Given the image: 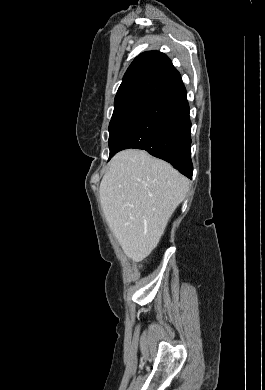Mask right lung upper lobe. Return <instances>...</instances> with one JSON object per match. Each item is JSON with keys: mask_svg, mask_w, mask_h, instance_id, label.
<instances>
[{"mask_svg": "<svg viewBox=\"0 0 265 390\" xmlns=\"http://www.w3.org/2000/svg\"><path fill=\"white\" fill-rule=\"evenodd\" d=\"M180 82L179 72L164 53L147 51L128 67L114 103L139 96L156 99Z\"/></svg>", "mask_w": 265, "mask_h": 390, "instance_id": "right-lung-upper-lobe-1", "label": "right lung upper lobe"}]
</instances>
